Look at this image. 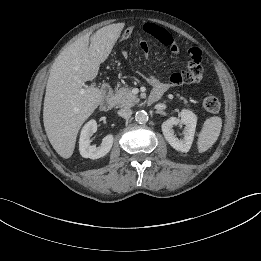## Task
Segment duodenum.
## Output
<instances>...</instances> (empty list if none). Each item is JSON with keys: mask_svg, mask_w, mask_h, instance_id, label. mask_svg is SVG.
I'll use <instances>...</instances> for the list:
<instances>
[{"mask_svg": "<svg viewBox=\"0 0 261 261\" xmlns=\"http://www.w3.org/2000/svg\"><path fill=\"white\" fill-rule=\"evenodd\" d=\"M102 93H103V99L101 101L100 108L102 111H109L112 109V107L114 105V100L111 95L112 88L109 83L103 84ZM161 95L162 94L160 92L152 91L147 98V103L154 104L155 102H157L160 99Z\"/></svg>", "mask_w": 261, "mask_h": 261, "instance_id": "duodenum-1", "label": "duodenum"}]
</instances>
